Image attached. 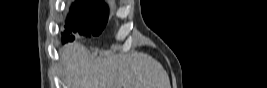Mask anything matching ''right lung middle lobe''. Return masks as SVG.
<instances>
[{
	"label": "right lung middle lobe",
	"instance_id": "obj_1",
	"mask_svg": "<svg viewBox=\"0 0 267 88\" xmlns=\"http://www.w3.org/2000/svg\"><path fill=\"white\" fill-rule=\"evenodd\" d=\"M107 22V7L99 1H78L71 11L65 32L62 37L65 41H73L75 37L71 31L83 36H98Z\"/></svg>",
	"mask_w": 267,
	"mask_h": 88
}]
</instances>
